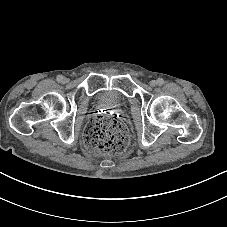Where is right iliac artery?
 I'll list each match as a JSON object with an SVG mask.
<instances>
[{"instance_id": "right-iliac-artery-1", "label": "right iliac artery", "mask_w": 227, "mask_h": 227, "mask_svg": "<svg viewBox=\"0 0 227 227\" xmlns=\"http://www.w3.org/2000/svg\"><path fill=\"white\" fill-rule=\"evenodd\" d=\"M56 79H57L58 82H61L63 80V76L62 75H58Z\"/></svg>"}]
</instances>
